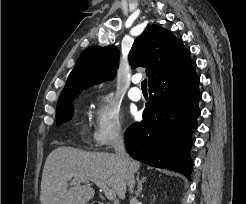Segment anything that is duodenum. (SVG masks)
I'll list each match as a JSON object with an SVG mask.
<instances>
[{
    "instance_id": "410a0bca",
    "label": "duodenum",
    "mask_w": 246,
    "mask_h": 204,
    "mask_svg": "<svg viewBox=\"0 0 246 204\" xmlns=\"http://www.w3.org/2000/svg\"><path fill=\"white\" fill-rule=\"evenodd\" d=\"M92 204H104L102 202H93Z\"/></svg>"
}]
</instances>
